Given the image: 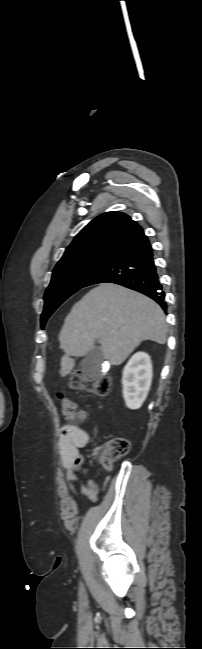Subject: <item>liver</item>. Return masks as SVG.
Instances as JSON below:
<instances>
[{"instance_id":"6515ba94","label":"liver","mask_w":202,"mask_h":649,"mask_svg":"<svg viewBox=\"0 0 202 649\" xmlns=\"http://www.w3.org/2000/svg\"><path fill=\"white\" fill-rule=\"evenodd\" d=\"M167 325L161 307L149 297L113 283H101L75 303L59 333L61 377L99 339L103 357L121 364L145 340L165 344Z\"/></svg>"}]
</instances>
